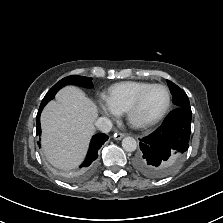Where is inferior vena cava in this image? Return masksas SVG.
Instances as JSON below:
<instances>
[{"label":"inferior vena cava","instance_id":"1","mask_svg":"<svg viewBox=\"0 0 223 223\" xmlns=\"http://www.w3.org/2000/svg\"><path fill=\"white\" fill-rule=\"evenodd\" d=\"M95 126L102 132L108 133L112 129V122L106 117H100L96 122Z\"/></svg>","mask_w":223,"mask_h":223}]
</instances>
